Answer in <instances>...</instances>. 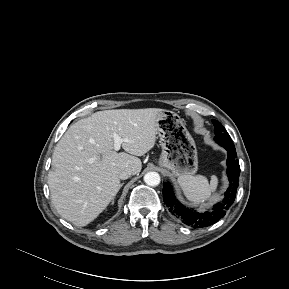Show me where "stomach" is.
Listing matches in <instances>:
<instances>
[{"instance_id": "obj_1", "label": "stomach", "mask_w": 289, "mask_h": 289, "mask_svg": "<svg viewBox=\"0 0 289 289\" xmlns=\"http://www.w3.org/2000/svg\"><path fill=\"white\" fill-rule=\"evenodd\" d=\"M155 129L162 148L159 165L177 177L196 173L197 149L184 120L173 111L162 110L155 121Z\"/></svg>"}]
</instances>
